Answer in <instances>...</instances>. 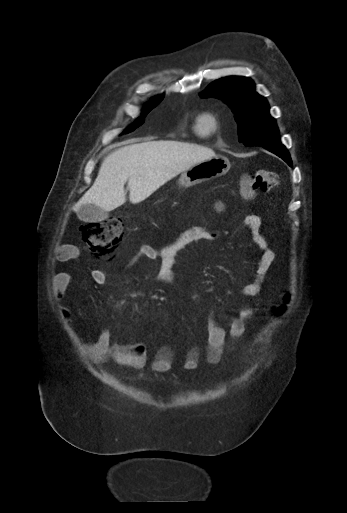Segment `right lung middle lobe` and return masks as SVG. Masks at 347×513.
I'll use <instances>...</instances> for the list:
<instances>
[{
    "label": "right lung middle lobe",
    "mask_w": 347,
    "mask_h": 513,
    "mask_svg": "<svg viewBox=\"0 0 347 513\" xmlns=\"http://www.w3.org/2000/svg\"><path fill=\"white\" fill-rule=\"evenodd\" d=\"M163 99V96H158L154 99H152L145 107H144V110L142 112V116L140 118H138L136 120V122L131 125L130 127H128L126 130H125V133H129V132H132L133 130H135L137 127H139L141 124L144 123V117L154 108L156 107Z\"/></svg>",
    "instance_id": "dd1d6c3e"
}]
</instances>
